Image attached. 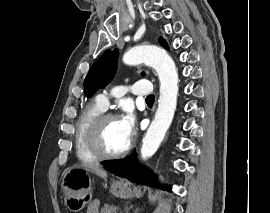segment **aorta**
<instances>
[{"label":"aorta","instance_id":"obj_1","mask_svg":"<svg viewBox=\"0 0 270 213\" xmlns=\"http://www.w3.org/2000/svg\"><path fill=\"white\" fill-rule=\"evenodd\" d=\"M127 65L146 63L158 74L160 96L157 111L142 140L141 157L147 159L155 154L171 125L177 105L178 73L173 59L167 52L155 46H137L123 56Z\"/></svg>","mask_w":270,"mask_h":213}]
</instances>
